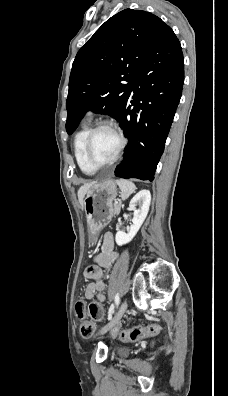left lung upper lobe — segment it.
Listing matches in <instances>:
<instances>
[{
	"instance_id": "left-lung-upper-lobe-1",
	"label": "left lung upper lobe",
	"mask_w": 228,
	"mask_h": 396,
	"mask_svg": "<svg viewBox=\"0 0 228 396\" xmlns=\"http://www.w3.org/2000/svg\"><path fill=\"white\" fill-rule=\"evenodd\" d=\"M166 28L169 26L154 14L125 9L94 33L72 65L66 101L68 134L87 110L119 121L149 47Z\"/></svg>"
}]
</instances>
